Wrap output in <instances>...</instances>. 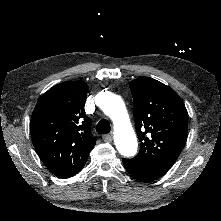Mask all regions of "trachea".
I'll return each mask as SVG.
<instances>
[{"mask_svg": "<svg viewBox=\"0 0 221 221\" xmlns=\"http://www.w3.org/2000/svg\"><path fill=\"white\" fill-rule=\"evenodd\" d=\"M111 130L110 123L106 119H102L96 125V131L99 134H107Z\"/></svg>", "mask_w": 221, "mask_h": 221, "instance_id": "obj_1", "label": "trachea"}]
</instances>
